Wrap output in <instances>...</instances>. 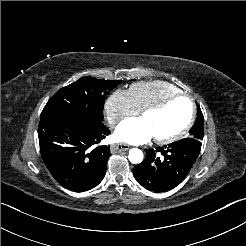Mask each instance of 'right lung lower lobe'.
I'll list each match as a JSON object with an SVG mask.
<instances>
[{
  "label": "right lung lower lobe",
  "mask_w": 246,
  "mask_h": 246,
  "mask_svg": "<svg viewBox=\"0 0 246 246\" xmlns=\"http://www.w3.org/2000/svg\"><path fill=\"white\" fill-rule=\"evenodd\" d=\"M110 131L98 122L65 118L41 119L38 137L42 159L52 176L65 188L82 192L103 179L109 146H96Z\"/></svg>",
  "instance_id": "right-lung-lower-lobe-1"
}]
</instances>
